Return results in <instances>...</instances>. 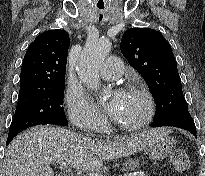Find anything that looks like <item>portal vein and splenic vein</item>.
<instances>
[{
  "instance_id": "1",
  "label": "portal vein and splenic vein",
  "mask_w": 205,
  "mask_h": 176,
  "mask_svg": "<svg viewBox=\"0 0 205 176\" xmlns=\"http://www.w3.org/2000/svg\"><path fill=\"white\" fill-rule=\"evenodd\" d=\"M59 167H60L61 169H67L68 164H67L66 162H61V163H59Z\"/></svg>"
}]
</instances>
